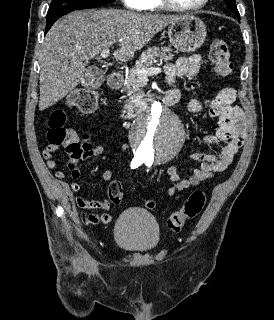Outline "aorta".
<instances>
[{
	"instance_id": "762f6f07",
	"label": "aorta",
	"mask_w": 274,
	"mask_h": 320,
	"mask_svg": "<svg viewBox=\"0 0 274 320\" xmlns=\"http://www.w3.org/2000/svg\"><path fill=\"white\" fill-rule=\"evenodd\" d=\"M130 140L141 159L164 163L173 159L184 141V129L178 117L160 102H154L147 115L139 117Z\"/></svg>"
}]
</instances>
